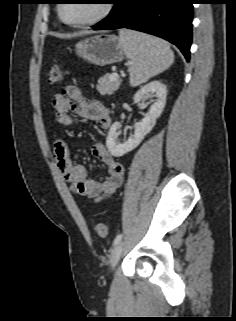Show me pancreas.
Returning a JSON list of instances; mask_svg holds the SVG:
<instances>
[{"label":"pancreas","mask_w":236,"mask_h":321,"mask_svg":"<svg viewBox=\"0 0 236 321\" xmlns=\"http://www.w3.org/2000/svg\"><path fill=\"white\" fill-rule=\"evenodd\" d=\"M111 75L107 74L103 77H100L97 84L98 91L103 95H111L113 94L120 86V79H110Z\"/></svg>","instance_id":"obj_1"}]
</instances>
